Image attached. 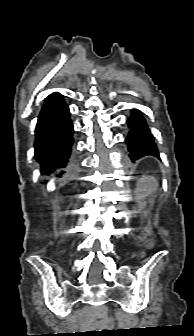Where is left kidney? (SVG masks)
I'll list each match as a JSON object with an SVG mask.
<instances>
[{
    "label": "left kidney",
    "instance_id": "left-kidney-1",
    "mask_svg": "<svg viewBox=\"0 0 194 336\" xmlns=\"http://www.w3.org/2000/svg\"><path fill=\"white\" fill-rule=\"evenodd\" d=\"M158 187L157 180L153 176H142L136 184V200L140 210L144 208L145 202H140L147 196L156 192Z\"/></svg>",
    "mask_w": 194,
    "mask_h": 336
}]
</instances>
